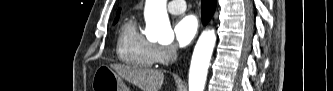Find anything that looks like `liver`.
<instances>
[{"label": "liver", "instance_id": "obj_1", "mask_svg": "<svg viewBox=\"0 0 333 91\" xmlns=\"http://www.w3.org/2000/svg\"><path fill=\"white\" fill-rule=\"evenodd\" d=\"M110 67L117 75L136 85L142 91H159L164 82V74L160 70L121 64H111Z\"/></svg>", "mask_w": 333, "mask_h": 91}]
</instances>
